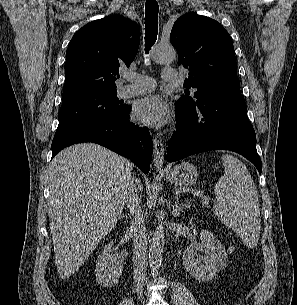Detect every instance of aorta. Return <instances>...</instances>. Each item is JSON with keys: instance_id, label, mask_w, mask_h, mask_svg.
I'll list each match as a JSON object with an SVG mask.
<instances>
[{"instance_id": "aorta-1", "label": "aorta", "mask_w": 297, "mask_h": 305, "mask_svg": "<svg viewBox=\"0 0 297 305\" xmlns=\"http://www.w3.org/2000/svg\"><path fill=\"white\" fill-rule=\"evenodd\" d=\"M151 58L158 64L171 63L176 59V51L170 45H158L152 50ZM164 237V227L161 222L155 229L149 249V265L152 274L158 272L162 263Z\"/></svg>"}]
</instances>
